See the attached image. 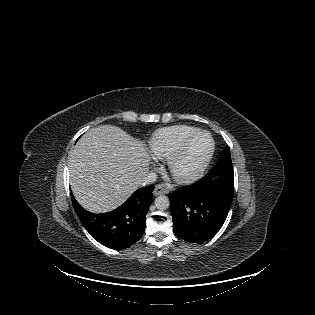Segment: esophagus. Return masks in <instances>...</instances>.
<instances>
[{
  "instance_id": "obj_1",
  "label": "esophagus",
  "mask_w": 315,
  "mask_h": 315,
  "mask_svg": "<svg viewBox=\"0 0 315 315\" xmlns=\"http://www.w3.org/2000/svg\"><path fill=\"white\" fill-rule=\"evenodd\" d=\"M170 191V187L167 184H158L155 186V189L153 191L154 195H162L167 194Z\"/></svg>"
}]
</instances>
